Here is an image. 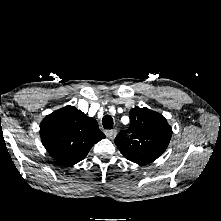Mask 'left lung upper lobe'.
I'll use <instances>...</instances> for the list:
<instances>
[{"label":"left lung upper lobe","mask_w":221,"mask_h":221,"mask_svg":"<svg viewBox=\"0 0 221 221\" xmlns=\"http://www.w3.org/2000/svg\"><path fill=\"white\" fill-rule=\"evenodd\" d=\"M115 138V143L128 160L146 165L157 159L167 148L172 129L166 119L159 113L148 108L135 107L130 110V126Z\"/></svg>","instance_id":"5c2ea615"}]
</instances>
